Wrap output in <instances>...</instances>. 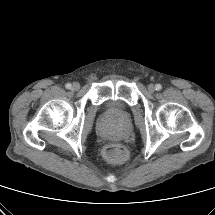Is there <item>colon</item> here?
<instances>
[{
	"label": "colon",
	"mask_w": 215,
	"mask_h": 215,
	"mask_svg": "<svg viewBox=\"0 0 215 215\" xmlns=\"http://www.w3.org/2000/svg\"><path fill=\"white\" fill-rule=\"evenodd\" d=\"M104 156L113 162L122 163L128 158L127 149L120 144H109L103 150Z\"/></svg>",
	"instance_id": "1"
}]
</instances>
